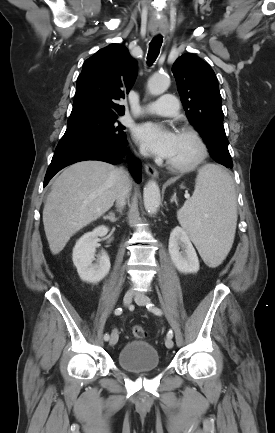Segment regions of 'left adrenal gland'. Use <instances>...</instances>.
<instances>
[{"instance_id": "obj_1", "label": "left adrenal gland", "mask_w": 275, "mask_h": 433, "mask_svg": "<svg viewBox=\"0 0 275 433\" xmlns=\"http://www.w3.org/2000/svg\"><path fill=\"white\" fill-rule=\"evenodd\" d=\"M171 202H175L177 204L176 193H174V195L172 196Z\"/></svg>"}]
</instances>
